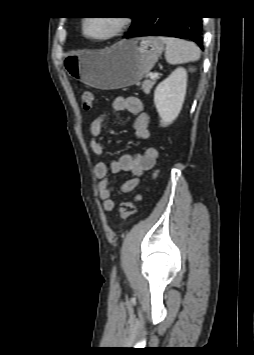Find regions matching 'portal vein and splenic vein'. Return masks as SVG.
Segmentation results:
<instances>
[{"mask_svg": "<svg viewBox=\"0 0 254 355\" xmlns=\"http://www.w3.org/2000/svg\"><path fill=\"white\" fill-rule=\"evenodd\" d=\"M158 73H151L150 74V79H155L156 77H158Z\"/></svg>", "mask_w": 254, "mask_h": 355, "instance_id": "obj_1", "label": "portal vein and splenic vein"}]
</instances>
